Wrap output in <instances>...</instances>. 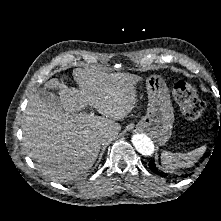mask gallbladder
Returning a JSON list of instances; mask_svg holds the SVG:
<instances>
[{"label": "gallbladder", "instance_id": "gallbladder-1", "mask_svg": "<svg viewBox=\"0 0 221 221\" xmlns=\"http://www.w3.org/2000/svg\"><path fill=\"white\" fill-rule=\"evenodd\" d=\"M37 93H39L41 99L43 100V102H45L47 105L51 106V105H55L57 107H61L60 102H59V98L57 95H55L52 92H49L47 90L44 89H39L37 91Z\"/></svg>", "mask_w": 221, "mask_h": 221}]
</instances>
